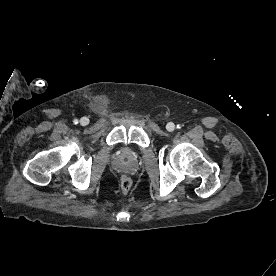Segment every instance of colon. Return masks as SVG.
<instances>
[{
  "mask_svg": "<svg viewBox=\"0 0 276 276\" xmlns=\"http://www.w3.org/2000/svg\"><path fill=\"white\" fill-rule=\"evenodd\" d=\"M132 187V181L127 176H122L119 181L120 191L123 193H127Z\"/></svg>",
  "mask_w": 276,
  "mask_h": 276,
  "instance_id": "5ec220e1",
  "label": "colon"
}]
</instances>
